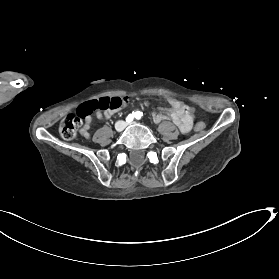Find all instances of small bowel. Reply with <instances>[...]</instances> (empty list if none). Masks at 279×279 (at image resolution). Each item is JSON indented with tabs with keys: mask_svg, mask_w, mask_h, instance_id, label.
<instances>
[{
	"mask_svg": "<svg viewBox=\"0 0 279 279\" xmlns=\"http://www.w3.org/2000/svg\"><path fill=\"white\" fill-rule=\"evenodd\" d=\"M168 103L171 105L172 109L168 113H155L153 115L154 121L160 122L164 119L171 118L182 133H188L193 125L192 116L185 110L179 100L175 98H168ZM115 112V110L98 111L96 113V118L105 120L110 118L111 115ZM91 124L92 117L89 116L85 118L83 127L81 129V134L86 138L90 136Z\"/></svg>",
	"mask_w": 279,
	"mask_h": 279,
	"instance_id": "small-bowel-1",
	"label": "small bowel"
}]
</instances>
